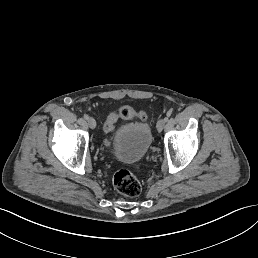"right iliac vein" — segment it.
<instances>
[{
  "label": "right iliac vein",
  "mask_w": 258,
  "mask_h": 258,
  "mask_svg": "<svg viewBox=\"0 0 258 258\" xmlns=\"http://www.w3.org/2000/svg\"><path fill=\"white\" fill-rule=\"evenodd\" d=\"M88 127H93L95 129L96 121L94 117H89L87 121Z\"/></svg>",
  "instance_id": "63e3f726"
}]
</instances>
